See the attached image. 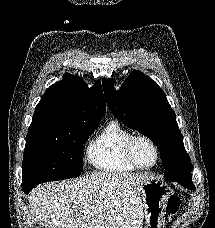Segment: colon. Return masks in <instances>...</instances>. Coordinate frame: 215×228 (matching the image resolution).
<instances>
[{
    "mask_svg": "<svg viewBox=\"0 0 215 228\" xmlns=\"http://www.w3.org/2000/svg\"><path fill=\"white\" fill-rule=\"evenodd\" d=\"M180 206V198L177 195L171 196L167 201V214L173 216Z\"/></svg>",
    "mask_w": 215,
    "mask_h": 228,
    "instance_id": "colon-1",
    "label": "colon"
}]
</instances>
